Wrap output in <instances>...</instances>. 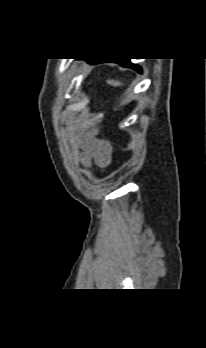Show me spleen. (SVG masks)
Wrapping results in <instances>:
<instances>
[{"mask_svg":"<svg viewBox=\"0 0 206 348\" xmlns=\"http://www.w3.org/2000/svg\"><path fill=\"white\" fill-rule=\"evenodd\" d=\"M107 82H108V84H110L112 86H120V85H122V83L119 82V81L108 80Z\"/></svg>","mask_w":206,"mask_h":348,"instance_id":"spleen-1","label":"spleen"}]
</instances>
